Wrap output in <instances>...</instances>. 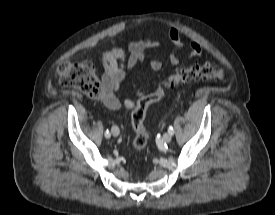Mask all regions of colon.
I'll list each match as a JSON object with an SVG mask.
<instances>
[{"instance_id":"1","label":"colon","mask_w":275,"mask_h":215,"mask_svg":"<svg viewBox=\"0 0 275 215\" xmlns=\"http://www.w3.org/2000/svg\"><path fill=\"white\" fill-rule=\"evenodd\" d=\"M58 73L63 86L76 88L89 98L101 96L102 86L90 61H63L58 67ZM227 77L228 73L222 66L211 62L198 63L178 69L159 83L152 93L141 97L131 115V124L135 132L134 150L139 153L145 148L148 141V131L144 124L147 109L163 97L166 88L179 87L196 80L225 81Z\"/></svg>"}]
</instances>
